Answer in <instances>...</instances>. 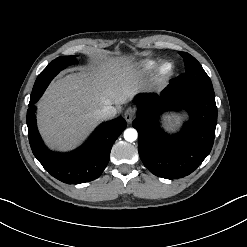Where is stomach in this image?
<instances>
[{
	"instance_id": "1",
	"label": "stomach",
	"mask_w": 247,
	"mask_h": 247,
	"mask_svg": "<svg viewBox=\"0 0 247 247\" xmlns=\"http://www.w3.org/2000/svg\"><path fill=\"white\" fill-rule=\"evenodd\" d=\"M169 122H170V128H173L174 126H176L178 124V118L176 116H172L170 119H169Z\"/></svg>"
}]
</instances>
